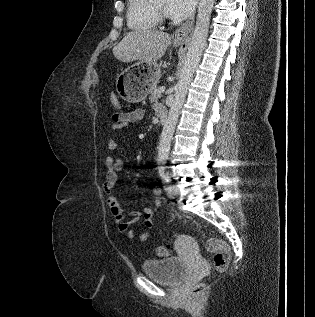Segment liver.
<instances>
[{"label": "liver", "mask_w": 315, "mask_h": 317, "mask_svg": "<svg viewBox=\"0 0 315 317\" xmlns=\"http://www.w3.org/2000/svg\"><path fill=\"white\" fill-rule=\"evenodd\" d=\"M171 43L168 33L156 30L129 32L112 50L116 59L129 63L136 60L147 64L161 59Z\"/></svg>", "instance_id": "obj_1"}]
</instances>
